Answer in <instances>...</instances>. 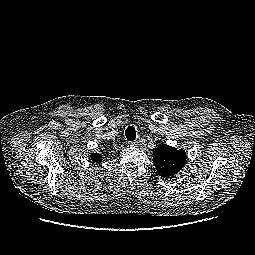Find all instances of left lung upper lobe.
<instances>
[{
	"label": "left lung upper lobe",
	"mask_w": 255,
	"mask_h": 255,
	"mask_svg": "<svg viewBox=\"0 0 255 255\" xmlns=\"http://www.w3.org/2000/svg\"><path fill=\"white\" fill-rule=\"evenodd\" d=\"M186 158L184 150L162 144L154 151L153 163L157 173L167 178L174 176L184 167Z\"/></svg>",
	"instance_id": "5c2ea615"
}]
</instances>
